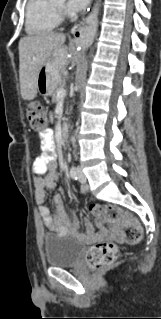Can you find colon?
<instances>
[{
	"mask_svg": "<svg viewBox=\"0 0 161 319\" xmlns=\"http://www.w3.org/2000/svg\"><path fill=\"white\" fill-rule=\"evenodd\" d=\"M26 114L33 130L42 133L47 131L48 123L43 107L38 103H30ZM52 148L53 144H47ZM92 213L97 216L117 223L122 227L123 238L127 243H136L142 237L139 221L133 216H123L116 206H93ZM119 250L112 242H99L91 246L86 252V262L90 268L98 270L109 268L116 264Z\"/></svg>",
	"mask_w": 161,
	"mask_h": 319,
	"instance_id": "5ec220e1",
	"label": "colon"
}]
</instances>
